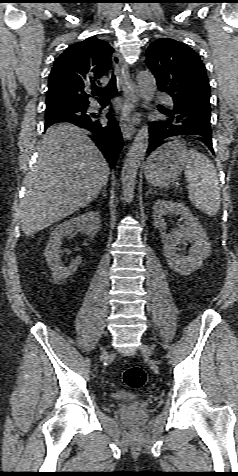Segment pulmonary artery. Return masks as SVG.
<instances>
[{"instance_id":"obj_1","label":"pulmonary artery","mask_w":238,"mask_h":476,"mask_svg":"<svg viewBox=\"0 0 238 476\" xmlns=\"http://www.w3.org/2000/svg\"><path fill=\"white\" fill-rule=\"evenodd\" d=\"M161 101H162L163 103H165L166 105H169V106H172V105H173V101H172V99H171L170 97H166V96H165V97H161ZM91 109H92L93 111H97V110H98V105L93 104L92 107H91Z\"/></svg>"}]
</instances>
